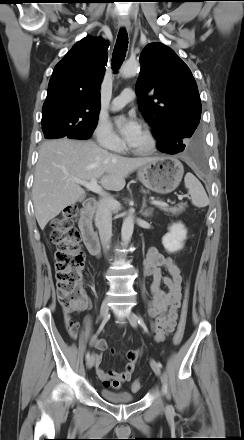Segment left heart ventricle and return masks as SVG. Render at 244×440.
Wrapping results in <instances>:
<instances>
[{"label":"left heart ventricle","instance_id":"obj_1","mask_svg":"<svg viewBox=\"0 0 244 440\" xmlns=\"http://www.w3.org/2000/svg\"><path fill=\"white\" fill-rule=\"evenodd\" d=\"M146 142H147L146 138H145L143 132L141 131L139 136L130 145L135 147V148H140V147L145 146Z\"/></svg>","mask_w":244,"mask_h":440}]
</instances>
